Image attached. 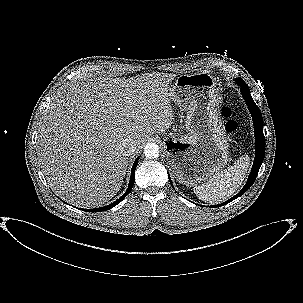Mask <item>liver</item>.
I'll return each instance as SVG.
<instances>
[{"label": "liver", "mask_w": 303, "mask_h": 303, "mask_svg": "<svg viewBox=\"0 0 303 303\" xmlns=\"http://www.w3.org/2000/svg\"><path fill=\"white\" fill-rule=\"evenodd\" d=\"M174 74L128 79L98 76L58 94L43 116L38 160L53 191L79 207L100 206L123 182L128 158L121 142L140 145L174 122Z\"/></svg>", "instance_id": "obj_1"}]
</instances>
